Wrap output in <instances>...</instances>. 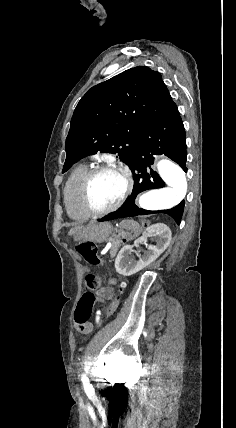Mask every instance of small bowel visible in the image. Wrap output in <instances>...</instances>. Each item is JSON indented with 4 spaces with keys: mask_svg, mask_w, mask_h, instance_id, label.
<instances>
[{
    "mask_svg": "<svg viewBox=\"0 0 236 428\" xmlns=\"http://www.w3.org/2000/svg\"><path fill=\"white\" fill-rule=\"evenodd\" d=\"M114 294V290L110 287L108 288H103L100 292L99 295L101 297V299L103 300H110L112 299ZM91 330V325H87V327L85 328L84 332H89Z\"/></svg>",
    "mask_w": 236,
    "mask_h": 428,
    "instance_id": "1",
    "label": "small bowel"
}]
</instances>
